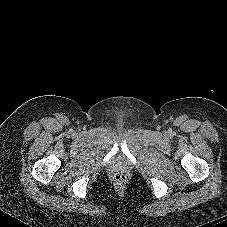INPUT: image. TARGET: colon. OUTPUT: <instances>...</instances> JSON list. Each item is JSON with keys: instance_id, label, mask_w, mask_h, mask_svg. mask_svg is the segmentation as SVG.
Segmentation results:
<instances>
[{"instance_id": "5ec220e1", "label": "colon", "mask_w": 227, "mask_h": 227, "mask_svg": "<svg viewBox=\"0 0 227 227\" xmlns=\"http://www.w3.org/2000/svg\"><path fill=\"white\" fill-rule=\"evenodd\" d=\"M115 180L118 184H123L126 181V176L124 174H118L116 175Z\"/></svg>"}]
</instances>
